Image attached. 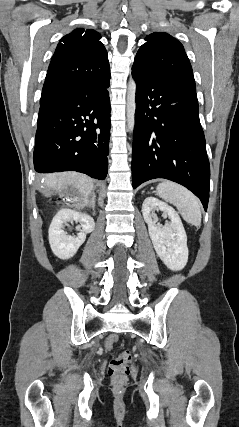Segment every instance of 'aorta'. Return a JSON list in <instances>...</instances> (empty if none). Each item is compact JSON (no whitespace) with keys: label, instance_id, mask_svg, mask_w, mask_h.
<instances>
[{"label":"aorta","instance_id":"aorta-1","mask_svg":"<svg viewBox=\"0 0 239 427\" xmlns=\"http://www.w3.org/2000/svg\"><path fill=\"white\" fill-rule=\"evenodd\" d=\"M136 112V83L133 78H130L127 88V127L130 132H133L135 126Z\"/></svg>","mask_w":239,"mask_h":427}]
</instances>
